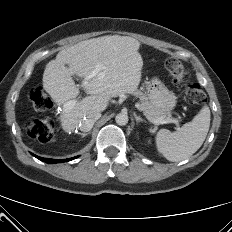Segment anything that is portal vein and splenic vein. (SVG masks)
<instances>
[{"instance_id": "1", "label": "portal vein and splenic vein", "mask_w": 232, "mask_h": 232, "mask_svg": "<svg viewBox=\"0 0 232 232\" xmlns=\"http://www.w3.org/2000/svg\"><path fill=\"white\" fill-rule=\"evenodd\" d=\"M98 73L97 70H94L89 76H87L83 82H82V85H86L88 83V80L92 77H94L96 74ZM77 103V100L76 99H73V100H70V101H67L65 104H64V110L67 111V110H70L72 109L75 104ZM147 119L152 122L153 124L155 125H159V124H167V123H174L176 124L177 126V129H179V121L177 119H172V118H166L164 119L163 117H160V118H157V119H153V118H150L148 116H146Z\"/></svg>"}]
</instances>
